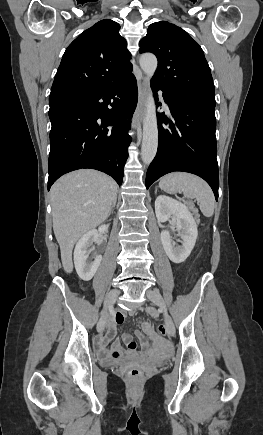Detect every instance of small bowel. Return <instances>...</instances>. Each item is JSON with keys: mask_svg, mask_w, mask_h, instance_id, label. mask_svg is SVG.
<instances>
[{"mask_svg": "<svg viewBox=\"0 0 263 435\" xmlns=\"http://www.w3.org/2000/svg\"><path fill=\"white\" fill-rule=\"evenodd\" d=\"M125 313L118 311L110 320L107 322V328L105 333L100 336L96 342L95 346L101 356L108 359H119L122 357H139L141 353L137 351V344L132 339V336L128 333L122 334V341L126 344V348L121 346L120 339H115L116 327L124 322ZM144 331L148 334V338L152 341L147 343L145 337L141 332H137L136 335L143 347V353L150 354V356H163V336L157 334L153 331L149 324H144Z\"/></svg>", "mask_w": 263, "mask_h": 435, "instance_id": "obj_1", "label": "small bowel"}]
</instances>
